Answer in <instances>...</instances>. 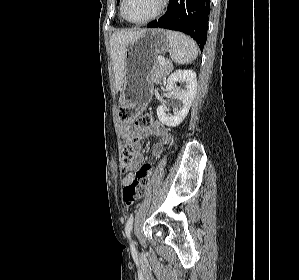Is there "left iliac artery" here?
Listing matches in <instances>:
<instances>
[{
    "instance_id": "left-iliac-artery-1",
    "label": "left iliac artery",
    "mask_w": 299,
    "mask_h": 280,
    "mask_svg": "<svg viewBox=\"0 0 299 280\" xmlns=\"http://www.w3.org/2000/svg\"><path fill=\"white\" fill-rule=\"evenodd\" d=\"M133 220H134V217H133V215H131L125 225V233L129 239H130V233L132 231Z\"/></svg>"
}]
</instances>
